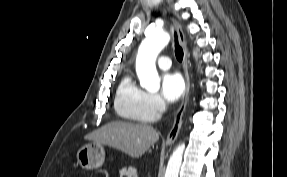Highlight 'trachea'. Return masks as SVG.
<instances>
[{
  "instance_id": "1",
  "label": "trachea",
  "mask_w": 287,
  "mask_h": 177,
  "mask_svg": "<svg viewBox=\"0 0 287 177\" xmlns=\"http://www.w3.org/2000/svg\"><path fill=\"white\" fill-rule=\"evenodd\" d=\"M174 37H175V56L177 60L181 62L183 59V49L178 44L176 33L174 34Z\"/></svg>"
}]
</instances>
